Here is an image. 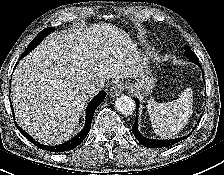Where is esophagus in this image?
<instances>
[{
  "instance_id": "34e87169",
  "label": "esophagus",
  "mask_w": 224,
  "mask_h": 175,
  "mask_svg": "<svg viewBox=\"0 0 224 175\" xmlns=\"http://www.w3.org/2000/svg\"><path fill=\"white\" fill-rule=\"evenodd\" d=\"M125 88V84L123 82H116L112 85L109 95L111 97L119 96Z\"/></svg>"
}]
</instances>
